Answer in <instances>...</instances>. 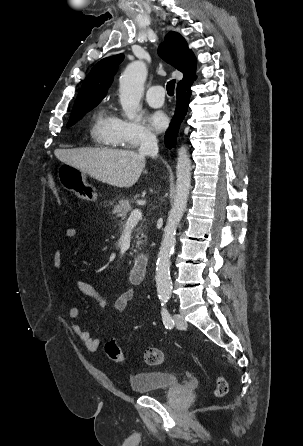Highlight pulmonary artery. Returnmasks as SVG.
I'll list each match as a JSON object with an SVG mask.
<instances>
[{"instance_id": "1", "label": "pulmonary artery", "mask_w": 303, "mask_h": 446, "mask_svg": "<svg viewBox=\"0 0 303 446\" xmlns=\"http://www.w3.org/2000/svg\"><path fill=\"white\" fill-rule=\"evenodd\" d=\"M164 88L160 85L152 86L146 93V101L152 107H161L164 103Z\"/></svg>"}]
</instances>
